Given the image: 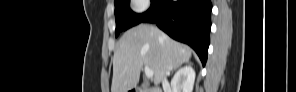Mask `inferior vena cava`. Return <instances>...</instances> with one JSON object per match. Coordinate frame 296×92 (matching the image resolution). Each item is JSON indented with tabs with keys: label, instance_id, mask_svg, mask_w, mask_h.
Segmentation results:
<instances>
[{
	"label": "inferior vena cava",
	"instance_id": "obj_1",
	"mask_svg": "<svg viewBox=\"0 0 296 92\" xmlns=\"http://www.w3.org/2000/svg\"><path fill=\"white\" fill-rule=\"evenodd\" d=\"M169 74V68H167V71H166V74H165V76L163 77V79H162V83L163 84H166L167 83V78H166V76Z\"/></svg>",
	"mask_w": 296,
	"mask_h": 92
}]
</instances>
